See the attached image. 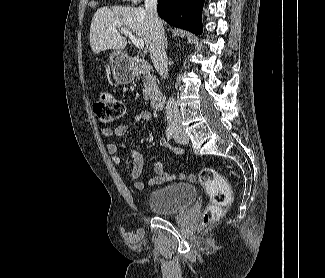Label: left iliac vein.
Returning a JSON list of instances; mask_svg holds the SVG:
<instances>
[{"label":"left iliac vein","mask_w":325,"mask_h":278,"mask_svg":"<svg viewBox=\"0 0 325 278\" xmlns=\"http://www.w3.org/2000/svg\"><path fill=\"white\" fill-rule=\"evenodd\" d=\"M174 139L180 144H187L189 142V138L183 130H176Z\"/></svg>","instance_id":"obj_1"}]
</instances>
